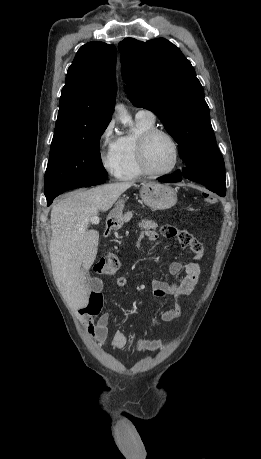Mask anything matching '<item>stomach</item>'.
<instances>
[{"mask_svg": "<svg viewBox=\"0 0 261 459\" xmlns=\"http://www.w3.org/2000/svg\"><path fill=\"white\" fill-rule=\"evenodd\" d=\"M140 197L145 205L154 211L170 209L177 203L176 191L167 184L154 182L142 184Z\"/></svg>", "mask_w": 261, "mask_h": 459, "instance_id": "stomach-1", "label": "stomach"}]
</instances>
